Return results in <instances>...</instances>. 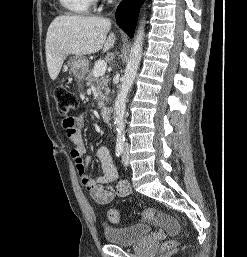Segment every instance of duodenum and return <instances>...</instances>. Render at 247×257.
<instances>
[{
  "label": "duodenum",
  "mask_w": 247,
  "mask_h": 257,
  "mask_svg": "<svg viewBox=\"0 0 247 257\" xmlns=\"http://www.w3.org/2000/svg\"><path fill=\"white\" fill-rule=\"evenodd\" d=\"M103 120L109 121L111 118V109L107 106H103L100 110Z\"/></svg>",
  "instance_id": "duodenum-1"
}]
</instances>
